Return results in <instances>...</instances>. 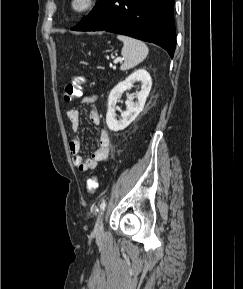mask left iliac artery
<instances>
[{
    "label": "left iliac artery",
    "mask_w": 243,
    "mask_h": 289,
    "mask_svg": "<svg viewBox=\"0 0 243 289\" xmlns=\"http://www.w3.org/2000/svg\"><path fill=\"white\" fill-rule=\"evenodd\" d=\"M106 207V201L103 200L102 203L100 204V210L103 211Z\"/></svg>",
    "instance_id": "left-iliac-artery-1"
}]
</instances>
